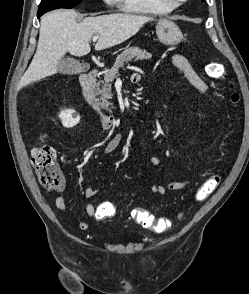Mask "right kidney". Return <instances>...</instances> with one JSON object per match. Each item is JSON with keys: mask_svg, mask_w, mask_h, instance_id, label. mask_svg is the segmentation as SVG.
Returning <instances> with one entry per match:
<instances>
[{"mask_svg": "<svg viewBox=\"0 0 249 294\" xmlns=\"http://www.w3.org/2000/svg\"><path fill=\"white\" fill-rule=\"evenodd\" d=\"M59 118L62 121V125L66 128H72L80 122V116L75 110L65 109L60 112Z\"/></svg>", "mask_w": 249, "mask_h": 294, "instance_id": "obj_1", "label": "right kidney"}]
</instances>
